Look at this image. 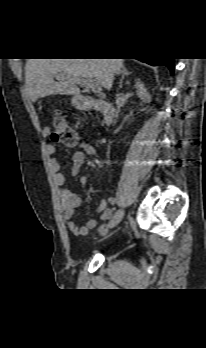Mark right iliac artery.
Masks as SVG:
<instances>
[{
	"label": "right iliac artery",
	"mask_w": 206,
	"mask_h": 348,
	"mask_svg": "<svg viewBox=\"0 0 206 348\" xmlns=\"http://www.w3.org/2000/svg\"><path fill=\"white\" fill-rule=\"evenodd\" d=\"M114 200H115V197H114L113 195H110V196H109V201H110V202H113Z\"/></svg>",
	"instance_id": "82829eb1"
}]
</instances>
